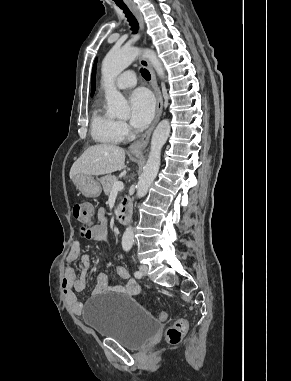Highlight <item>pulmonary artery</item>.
<instances>
[{
    "mask_svg": "<svg viewBox=\"0 0 291 381\" xmlns=\"http://www.w3.org/2000/svg\"><path fill=\"white\" fill-rule=\"evenodd\" d=\"M137 83L136 74L134 71L123 72L116 81L117 87L120 89L134 87Z\"/></svg>",
    "mask_w": 291,
    "mask_h": 381,
    "instance_id": "e3ab8cb5",
    "label": "pulmonary artery"
}]
</instances>
